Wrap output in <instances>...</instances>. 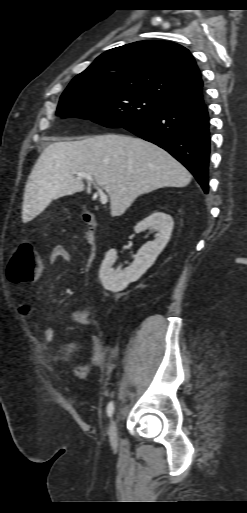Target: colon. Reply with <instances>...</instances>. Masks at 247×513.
Wrapping results in <instances>:
<instances>
[{"mask_svg":"<svg viewBox=\"0 0 247 513\" xmlns=\"http://www.w3.org/2000/svg\"><path fill=\"white\" fill-rule=\"evenodd\" d=\"M39 271H41V264L36 256L34 246L29 242L18 244L8 264V280L12 284L31 282Z\"/></svg>","mask_w":247,"mask_h":513,"instance_id":"obj_1","label":"colon"}]
</instances>
